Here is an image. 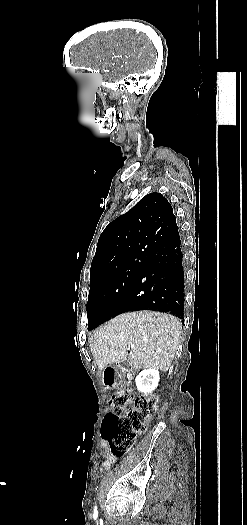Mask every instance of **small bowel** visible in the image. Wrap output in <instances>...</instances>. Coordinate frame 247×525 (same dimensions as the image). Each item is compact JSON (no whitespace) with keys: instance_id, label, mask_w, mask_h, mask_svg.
<instances>
[{"instance_id":"small-bowel-1","label":"small bowel","mask_w":247,"mask_h":525,"mask_svg":"<svg viewBox=\"0 0 247 525\" xmlns=\"http://www.w3.org/2000/svg\"><path fill=\"white\" fill-rule=\"evenodd\" d=\"M101 447L103 449L106 461L102 464L100 470H109L110 467L116 462V457L109 453L107 443L105 441L101 442Z\"/></svg>"}]
</instances>
